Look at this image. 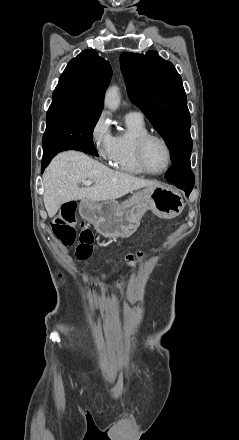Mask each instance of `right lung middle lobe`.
Wrapping results in <instances>:
<instances>
[{
  "label": "right lung middle lobe",
  "mask_w": 239,
  "mask_h": 440,
  "mask_svg": "<svg viewBox=\"0 0 239 440\" xmlns=\"http://www.w3.org/2000/svg\"><path fill=\"white\" fill-rule=\"evenodd\" d=\"M101 113L84 112L64 106L49 107L43 154L53 152L72 142L93 145V129Z\"/></svg>",
  "instance_id": "obj_1"
}]
</instances>
